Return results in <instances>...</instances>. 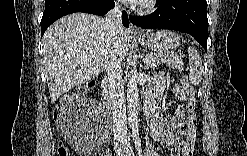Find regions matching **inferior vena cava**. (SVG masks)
<instances>
[{"instance_id":"602c4592","label":"inferior vena cava","mask_w":247,"mask_h":156,"mask_svg":"<svg viewBox=\"0 0 247 156\" xmlns=\"http://www.w3.org/2000/svg\"><path fill=\"white\" fill-rule=\"evenodd\" d=\"M105 23L107 31L112 36H115L121 29V7L118 2H116L113 9L108 11ZM105 70L107 72L109 105L112 112L113 131L115 133V137L125 138L127 134L126 106L124 100L120 59L117 57L111 58L107 63Z\"/></svg>"}]
</instances>
